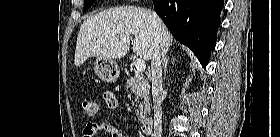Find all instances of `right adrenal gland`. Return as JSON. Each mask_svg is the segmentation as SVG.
<instances>
[{
  "label": "right adrenal gland",
  "instance_id": "1",
  "mask_svg": "<svg viewBox=\"0 0 280 137\" xmlns=\"http://www.w3.org/2000/svg\"><path fill=\"white\" fill-rule=\"evenodd\" d=\"M168 51H169V48H165L163 50V52H162V62H163L164 77L166 76L167 62L169 60V56H167Z\"/></svg>",
  "mask_w": 280,
  "mask_h": 137
}]
</instances>
